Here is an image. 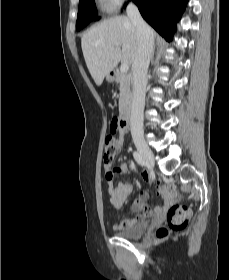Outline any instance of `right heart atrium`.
Instances as JSON below:
<instances>
[{
  "label": "right heart atrium",
  "instance_id": "d8ad5b80",
  "mask_svg": "<svg viewBox=\"0 0 229 280\" xmlns=\"http://www.w3.org/2000/svg\"><path fill=\"white\" fill-rule=\"evenodd\" d=\"M127 0H99L101 9L106 13H112L122 7Z\"/></svg>",
  "mask_w": 229,
  "mask_h": 280
}]
</instances>
